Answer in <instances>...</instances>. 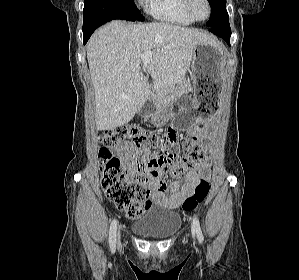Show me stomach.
Segmentation results:
<instances>
[{"instance_id":"1","label":"stomach","mask_w":299,"mask_h":280,"mask_svg":"<svg viewBox=\"0 0 299 280\" xmlns=\"http://www.w3.org/2000/svg\"><path fill=\"white\" fill-rule=\"evenodd\" d=\"M226 62L224 48L216 42L198 43L193 47V57L188 70L193 95H183L161 106L143 105L138 111L144 118H151L155 126H164L171 120L181 129H188L203 116L218 113L223 98V67ZM178 111L173 112L174 105Z\"/></svg>"}]
</instances>
